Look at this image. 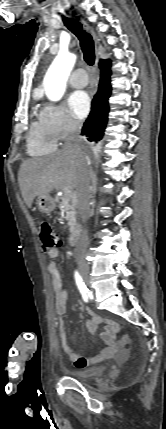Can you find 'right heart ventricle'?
Returning a JSON list of instances; mask_svg holds the SVG:
<instances>
[{
	"mask_svg": "<svg viewBox=\"0 0 166 429\" xmlns=\"http://www.w3.org/2000/svg\"><path fill=\"white\" fill-rule=\"evenodd\" d=\"M57 148L56 140L40 120L34 121L28 135V152L33 156L49 154Z\"/></svg>",
	"mask_w": 166,
	"mask_h": 429,
	"instance_id": "obj_1",
	"label": "right heart ventricle"
}]
</instances>
